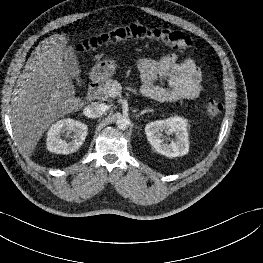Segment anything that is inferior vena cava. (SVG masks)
<instances>
[{"instance_id":"602c4592","label":"inferior vena cava","mask_w":263,"mask_h":263,"mask_svg":"<svg viewBox=\"0 0 263 263\" xmlns=\"http://www.w3.org/2000/svg\"><path fill=\"white\" fill-rule=\"evenodd\" d=\"M107 110V106L103 103L92 102L84 109V114L89 118H98Z\"/></svg>"}]
</instances>
